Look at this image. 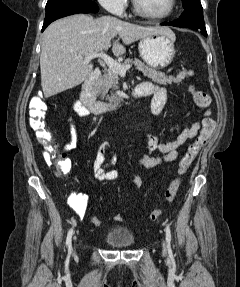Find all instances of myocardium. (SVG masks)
Here are the masks:
<instances>
[{"label":"myocardium","instance_id":"obj_1","mask_svg":"<svg viewBox=\"0 0 240 287\" xmlns=\"http://www.w3.org/2000/svg\"><path fill=\"white\" fill-rule=\"evenodd\" d=\"M132 3H133V9L138 15L145 17L147 19H151V20L166 19V18L170 17L176 9V0H170L169 8L167 9V11H165L162 14H153V13L143 9L140 6L138 0H132Z\"/></svg>","mask_w":240,"mask_h":287}]
</instances>
